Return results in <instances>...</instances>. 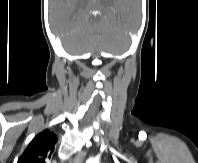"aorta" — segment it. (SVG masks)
I'll return each instance as SVG.
<instances>
[{
    "label": "aorta",
    "mask_w": 198,
    "mask_h": 163,
    "mask_svg": "<svg viewBox=\"0 0 198 163\" xmlns=\"http://www.w3.org/2000/svg\"><path fill=\"white\" fill-rule=\"evenodd\" d=\"M87 163H99L96 159H90L87 161Z\"/></svg>",
    "instance_id": "1"
}]
</instances>
